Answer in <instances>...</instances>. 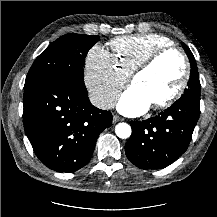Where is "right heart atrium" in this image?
<instances>
[{"label":"right heart atrium","mask_w":217,"mask_h":217,"mask_svg":"<svg viewBox=\"0 0 217 217\" xmlns=\"http://www.w3.org/2000/svg\"><path fill=\"white\" fill-rule=\"evenodd\" d=\"M128 82L115 64L112 55L102 46H93L85 61V84L93 103L108 109L116 101L120 91Z\"/></svg>","instance_id":"obj_1"}]
</instances>
